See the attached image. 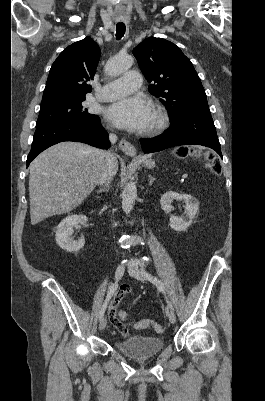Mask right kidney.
Wrapping results in <instances>:
<instances>
[{
  "label": "right kidney",
  "mask_w": 265,
  "mask_h": 401,
  "mask_svg": "<svg viewBox=\"0 0 265 401\" xmlns=\"http://www.w3.org/2000/svg\"><path fill=\"white\" fill-rule=\"evenodd\" d=\"M87 221L88 219L85 215H69V217L63 219V221L59 223L55 235L59 247L64 249V251H68V253H72V251L77 253V251H80V249L84 247L85 239L82 235L78 241H73V227L74 225H78V223L88 227V225H86Z\"/></svg>",
  "instance_id": "ca27d5eb"
}]
</instances>
